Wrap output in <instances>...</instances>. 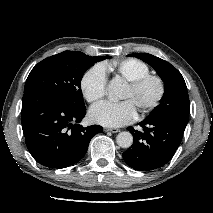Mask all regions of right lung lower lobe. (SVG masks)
I'll return each instance as SVG.
<instances>
[{
	"mask_svg": "<svg viewBox=\"0 0 213 213\" xmlns=\"http://www.w3.org/2000/svg\"><path fill=\"white\" fill-rule=\"evenodd\" d=\"M85 114L86 107L69 108L46 92H24L22 129L33 158L45 167L58 169L80 161L91 138L103 131L99 125H79Z\"/></svg>",
	"mask_w": 213,
	"mask_h": 213,
	"instance_id": "right-lung-lower-lobe-1",
	"label": "right lung lower lobe"
}]
</instances>
